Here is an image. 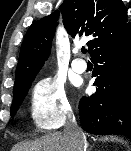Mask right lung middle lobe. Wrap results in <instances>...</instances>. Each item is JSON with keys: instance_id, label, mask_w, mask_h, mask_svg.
I'll use <instances>...</instances> for the list:
<instances>
[{"instance_id": "1", "label": "right lung middle lobe", "mask_w": 131, "mask_h": 151, "mask_svg": "<svg viewBox=\"0 0 131 151\" xmlns=\"http://www.w3.org/2000/svg\"><path fill=\"white\" fill-rule=\"evenodd\" d=\"M33 80H34V78L28 84H26L18 89L13 90V102H12V106H11V116H14L16 114L19 106L21 105L26 94L28 93V90L30 89L31 83Z\"/></svg>"}]
</instances>
